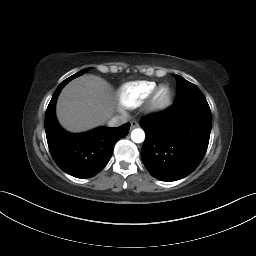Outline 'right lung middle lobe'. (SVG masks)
I'll return each mask as SVG.
<instances>
[{
  "label": "right lung middle lobe",
  "instance_id": "1",
  "mask_svg": "<svg viewBox=\"0 0 256 256\" xmlns=\"http://www.w3.org/2000/svg\"><path fill=\"white\" fill-rule=\"evenodd\" d=\"M89 69H90V68H86V69H83V70L77 72L76 74H74V75L70 76L69 78H67L66 80H64V81L62 82V84H66V83L69 82L71 79H73V78H75V77H77V76L82 75L84 72L88 71Z\"/></svg>",
  "mask_w": 256,
  "mask_h": 256
}]
</instances>
